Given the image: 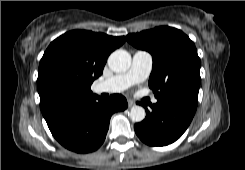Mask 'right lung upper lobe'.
Instances as JSON below:
<instances>
[{
    "mask_svg": "<svg viewBox=\"0 0 245 170\" xmlns=\"http://www.w3.org/2000/svg\"><path fill=\"white\" fill-rule=\"evenodd\" d=\"M125 37L73 30L55 39L39 65L37 88L47 121L67 106L94 95L91 84L102 72L109 54Z\"/></svg>",
    "mask_w": 245,
    "mask_h": 170,
    "instance_id": "right-lung-upper-lobe-1",
    "label": "right lung upper lobe"
}]
</instances>
